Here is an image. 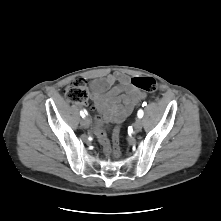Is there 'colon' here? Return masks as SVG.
<instances>
[{
	"instance_id": "obj_1",
	"label": "colon",
	"mask_w": 221,
	"mask_h": 221,
	"mask_svg": "<svg viewBox=\"0 0 221 221\" xmlns=\"http://www.w3.org/2000/svg\"><path fill=\"white\" fill-rule=\"evenodd\" d=\"M134 87L142 89L147 92H153L156 88L155 81L151 77H134L131 79ZM65 96L67 100L73 103H86L88 100V89L84 79H77L73 81L66 89ZM98 139L103 147L106 156L113 155L120 156V127L117 125L112 131V144H110L105 131L101 125L97 129Z\"/></svg>"
}]
</instances>
